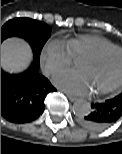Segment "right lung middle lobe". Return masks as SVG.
<instances>
[{
	"label": "right lung middle lobe",
	"instance_id": "1",
	"mask_svg": "<svg viewBox=\"0 0 122 154\" xmlns=\"http://www.w3.org/2000/svg\"><path fill=\"white\" fill-rule=\"evenodd\" d=\"M51 28L40 21L29 18H16L1 27V42L11 36L24 38L32 46L34 58L40 60V53L50 37Z\"/></svg>",
	"mask_w": 122,
	"mask_h": 154
}]
</instances>
